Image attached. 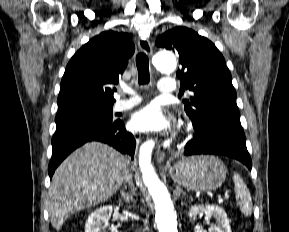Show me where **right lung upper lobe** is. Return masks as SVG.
Listing matches in <instances>:
<instances>
[{
	"label": "right lung upper lobe",
	"instance_id": "right-lung-upper-lobe-1",
	"mask_svg": "<svg viewBox=\"0 0 289 232\" xmlns=\"http://www.w3.org/2000/svg\"><path fill=\"white\" fill-rule=\"evenodd\" d=\"M131 35L105 31L93 37L69 61L61 80L58 108L113 106L119 76L135 47Z\"/></svg>",
	"mask_w": 289,
	"mask_h": 232
}]
</instances>
